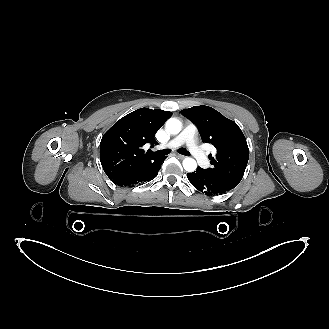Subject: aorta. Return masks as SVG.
Returning a JSON list of instances; mask_svg holds the SVG:
<instances>
[{
    "mask_svg": "<svg viewBox=\"0 0 329 329\" xmlns=\"http://www.w3.org/2000/svg\"><path fill=\"white\" fill-rule=\"evenodd\" d=\"M166 130L171 134H178L181 131L182 123L177 118H170L166 122ZM183 168L187 172H194L197 168L196 160L190 157H186L183 160Z\"/></svg>",
    "mask_w": 329,
    "mask_h": 329,
    "instance_id": "aorta-1",
    "label": "aorta"
}]
</instances>
